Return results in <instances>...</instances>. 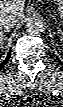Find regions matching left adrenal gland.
<instances>
[{
  "instance_id": "a2214340",
  "label": "left adrenal gland",
  "mask_w": 63,
  "mask_h": 107,
  "mask_svg": "<svg viewBox=\"0 0 63 107\" xmlns=\"http://www.w3.org/2000/svg\"><path fill=\"white\" fill-rule=\"evenodd\" d=\"M59 33H60L61 35L63 34V32H62L61 30L59 31Z\"/></svg>"
}]
</instances>
